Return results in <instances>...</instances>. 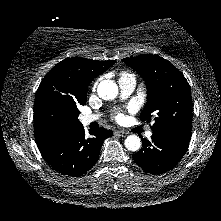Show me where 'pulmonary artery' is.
Returning <instances> with one entry per match:
<instances>
[{"mask_svg": "<svg viewBox=\"0 0 221 221\" xmlns=\"http://www.w3.org/2000/svg\"><path fill=\"white\" fill-rule=\"evenodd\" d=\"M135 87H136V80L133 76L123 77L119 79V88H120L121 97L123 99L130 96L134 91ZM100 117L101 114H86L81 117V122L84 125H88L92 122L99 120ZM152 134H153L152 131H147L146 137L151 138Z\"/></svg>", "mask_w": 221, "mask_h": 221, "instance_id": "pulmonary-artery-1", "label": "pulmonary artery"}]
</instances>
